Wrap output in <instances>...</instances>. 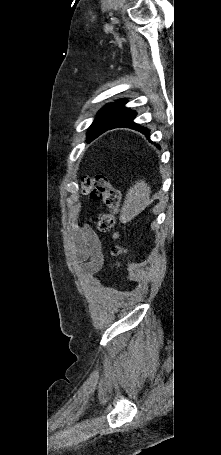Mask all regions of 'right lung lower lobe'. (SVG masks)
<instances>
[{
    "label": "right lung lower lobe",
    "mask_w": 221,
    "mask_h": 455,
    "mask_svg": "<svg viewBox=\"0 0 221 455\" xmlns=\"http://www.w3.org/2000/svg\"><path fill=\"white\" fill-rule=\"evenodd\" d=\"M135 115H136V113L134 111L127 112L117 123H115L109 129H113V128H117V127H127V128H132V129L141 131L142 133L148 135L149 130L147 128L140 127L139 125H137L133 122Z\"/></svg>",
    "instance_id": "right-lung-lower-lobe-1"
}]
</instances>
